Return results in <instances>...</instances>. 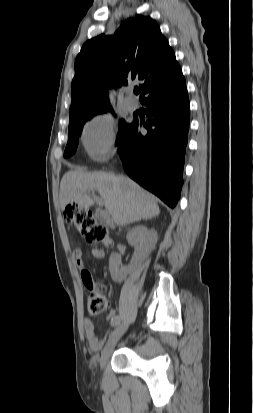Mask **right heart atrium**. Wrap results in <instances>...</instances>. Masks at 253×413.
<instances>
[{
	"label": "right heart atrium",
	"instance_id": "1",
	"mask_svg": "<svg viewBox=\"0 0 253 413\" xmlns=\"http://www.w3.org/2000/svg\"><path fill=\"white\" fill-rule=\"evenodd\" d=\"M82 144L88 156L97 162L106 160L115 148L113 119L108 115H96L85 125Z\"/></svg>",
	"mask_w": 253,
	"mask_h": 413
}]
</instances>
